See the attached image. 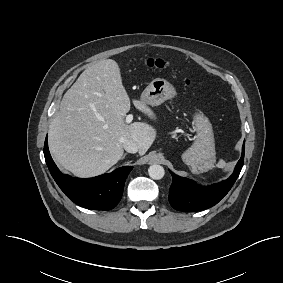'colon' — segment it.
Returning a JSON list of instances; mask_svg holds the SVG:
<instances>
[{
	"instance_id": "colon-1",
	"label": "colon",
	"mask_w": 283,
	"mask_h": 283,
	"mask_svg": "<svg viewBox=\"0 0 283 283\" xmlns=\"http://www.w3.org/2000/svg\"><path fill=\"white\" fill-rule=\"evenodd\" d=\"M144 65L149 69L163 70L166 68V63L161 59H148L145 61Z\"/></svg>"
}]
</instances>
